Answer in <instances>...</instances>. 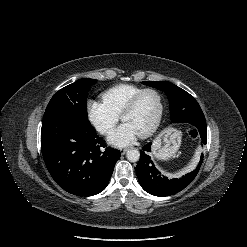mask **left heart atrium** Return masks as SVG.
Wrapping results in <instances>:
<instances>
[{
  "label": "left heart atrium",
  "mask_w": 247,
  "mask_h": 247,
  "mask_svg": "<svg viewBox=\"0 0 247 247\" xmlns=\"http://www.w3.org/2000/svg\"><path fill=\"white\" fill-rule=\"evenodd\" d=\"M138 135V132L131 124L124 122L122 125L111 131L108 136V141L114 146L123 147L132 144Z\"/></svg>",
  "instance_id": "left-heart-atrium-1"
}]
</instances>
